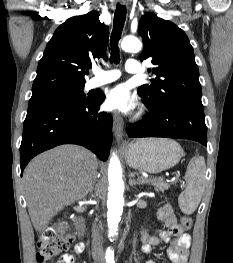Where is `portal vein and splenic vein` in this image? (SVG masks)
Here are the masks:
<instances>
[{
    "mask_svg": "<svg viewBox=\"0 0 233 263\" xmlns=\"http://www.w3.org/2000/svg\"><path fill=\"white\" fill-rule=\"evenodd\" d=\"M139 179H140L141 181L146 180V178H144V177H140Z\"/></svg>",
    "mask_w": 233,
    "mask_h": 263,
    "instance_id": "1",
    "label": "portal vein and splenic vein"
}]
</instances>
